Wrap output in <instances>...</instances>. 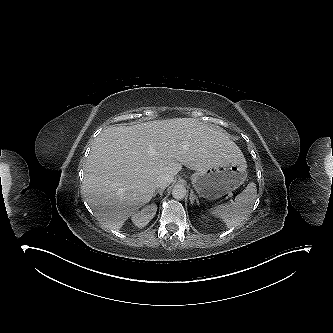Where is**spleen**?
<instances>
[{
	"instance_id": "1",
	"label": "spleen",
	"mask_w": 333,
	"mask_h": 333,
	"mask_svg": "<svg viewBox=\"0 0 333 333\" xmlns=\"http://www.w3.org/2000/svg\"><path fill=\"white\" fill-rule=\"evenodd\" d=\"M257 196L256 184L251 182L247 187L235 197L229 204H222L210 211V213L220 218L228 228L241 225L250 214Z\"/></svg>"
}]
</instances>
